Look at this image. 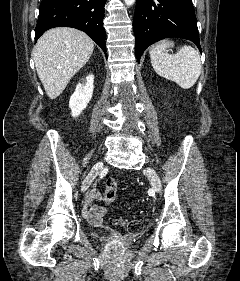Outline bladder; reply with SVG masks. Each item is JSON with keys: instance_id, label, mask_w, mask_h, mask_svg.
I'll list each match as a JSON object with an SVG mask.
<instances>
[{"instance_id": "1", "label": "bladder", "mask_w": 240, "mask_h": 281, "mask_svg": "<svg viewBox=\"0 0 240 281\" xmlns=\"http://www.w3.org/2000/svg\"><path fill=\"white\" fill-rule=\"evenodd\" d=\"M113 234L100 230L92 233V238L97 242H104L112 237Z\"/></svg>"}]
</instances>
